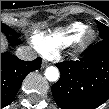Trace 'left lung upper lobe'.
I'll use <instances>...</instances> for the list:
<instances>
[{
    "mask_svg": "<svg viewBox=\"0 0 109 109\" xmlns=\"http://www.w3.org/2000/svg\"><path fill=\"white\" fill-rule=\"evenodd\" d=\"M96 22H97L98 29H99V32H100V38L102 40L109 39V28L106 25L99 22V21H96Z\"/></svg>",
    "mask_w": 109,
    "mask_h": 109,
    "instance_id": "1",
    "label": "left lung upper lobe"
}]
</instances>
